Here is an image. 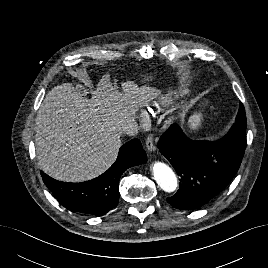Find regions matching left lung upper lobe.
Returning a JSON list of instances; mask_svg holds the SVG:
<instances>
[{
	"label": "left lung upper lobe",
	"instance_id": "obj_1",
	"mask_svg": "<svg viewBox=\"0 0 268 268\" xmlns=\"http://www.w3.org/2000/svg\"><path fill=\"white\" fill-rule=\"evenodd\" d=\"M228 134H234L236 136L237 142L240 145L246 146V114L243 106L239 107V112L235 123Z\"/></svg>",
	"mask_w": 268,
	"mask_h": 268
}]
</instances>
